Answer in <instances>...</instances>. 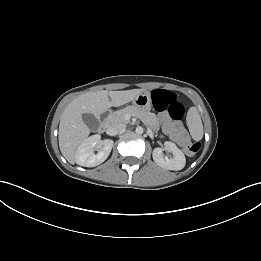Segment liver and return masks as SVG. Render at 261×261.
Here are the masks:
<instances>
[{
    "mask_svg": "<svg viewBox=\"0 0 261 261\" xmlns=\"http://www.w3.org/2000/svg\"><path fill=\"white\" fill-rule=\"evenodd\" d=\"M144 89H132L124 91L87 92L70 102L62 113L59 124V147L65 159L75 163L76 148L89 136L90 129L83 121L82 115L85 113L100 116L110 107L125 105Z\"/></svg>",
    "mask_w": 261,
    "mask_h": 261,
    "instance_id": "liver-1",
    "label": "liver"
}]
</instances>
